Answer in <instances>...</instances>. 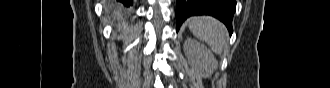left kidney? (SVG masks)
I'll list each match as a JSON object with an SVG mask.
<instances>
[{
  "instance_id": "1",
  "label": "left kidney",
  "mask_w": 330,
  "mask_h": 88,
  "mask_svg": "<svg viewBox=\"0 0 330 88\" xmlns=\"http://www.w3.org/2000/svg\"><path fill=\"white\" fill-rule=\"evenodd\" d=\"M183 49L189 65L201 77H209L217 69V60L204 44L195 39L187 38Z\"/></svg>"
}]
</instances>
